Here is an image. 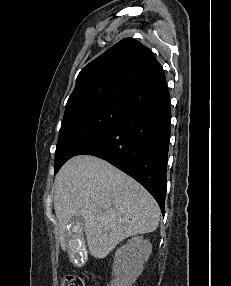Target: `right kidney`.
<instances>
[{
	"instance_id": "right-kidney-1",
	"label": "right kidney",
	"mask_w": 231,
	"mask_h": 286,
	"mask_svg": "<svg viewBox=\"0 0 231 286\" xmlns=\"http://www.w3.org/2000/svg\"><path fill=\"white\" fill-rule=\"evenodd\" d=\"M152 251L149 240L134 237L126 245L121 246L115 253L113 276L110 286H132L143 271Z\"/></svg>"
}]
</instances>
